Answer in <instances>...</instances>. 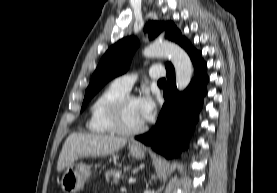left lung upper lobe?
Returning <instances> with one entry per match:
<instances>
[{
  "label": "left lung upper lobe",
  "instance_id": "1",
  "mask_svg": "<svg viewBox=\"0 0 277 193\" xmlns=\"http://www.w3.org/2000/svg\"><path fill=\"white\" fill-rule=\"evenodd\" d=\"M166 29L165 37L184 47L188 41L183 38L180 31L173 22H149L144 31L149 32V38L152 39L161 31ZM139 46V41L135 37L121 39L111 46L103 55L99 65L92 75L90 84L85 92V98L81 111L85 108L89 100L111 79L125 73L131 63L132 57ZM171 65L167 63L166 66Z\"/></svg>",
  "mask_w": 277,
  "mask_h": 193
}]
</instances>
